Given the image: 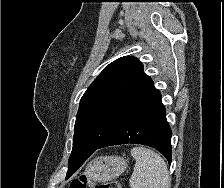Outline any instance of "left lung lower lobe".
Listing matches in <instances>:
<instances>
[{"label":"left lung lower lobe","mask_w":224,"mask_h":188,"mask_svg":"<svg viewBox=\"0 0 224 188\" xmlns=\"http://www.w3.org/2000/svg\"><path fill=\"white\" fill-rule=\"evenodd\" d=\"M171 135L161 94L153 86L125 111L118 124L97 149L129 143L144 144L157 149L171 163ZM83 162L84 160L70 166L67 177Z\"/></svg>","instance_id":"left-lung-lower-lobe-1"}]
</instances>
